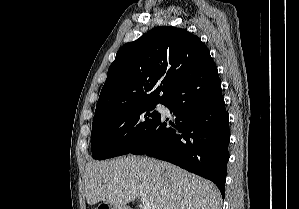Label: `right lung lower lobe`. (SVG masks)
I'll use <instances>...</instances> for the list:
<instances>
[{"label": "right lung lower lobe", "instance_id": "obj_1", "mask_svg": "<svg viewBox=\"0 0 299 209\" xmlns=\"http://www.w3.org/2000/svg\"><path fill=\"white\" fill-rule=\"evenodd\" d=\"M163 104L175 122L160 118L129 153L146 154L205 177L224 197L230 132L218 72L205 69L190 75Z\"/></svg>", "mask_w": 299, "mask_h": 209}]
</instances>
